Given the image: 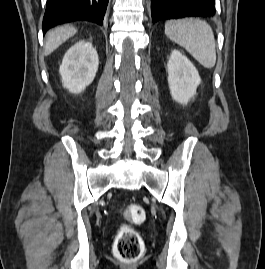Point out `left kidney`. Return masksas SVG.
<instances>
[{
	"instance_id": "1",
	"label": "left kidney",
	"mask_w": 265,
	"mask_h": 269,
	"mask_svg": "<svg viewBox=\"0 0 265 269\" xmlns=\"http://www.w3.org/2000/svg\"><path fill=\"white\" fill-rule=\"evenodd\" d=\"M168 84L172 98L186 105L196 95L201 78L195 66L180 51L173 50L167 63Z\"/></svg>"
}]
</instances>
